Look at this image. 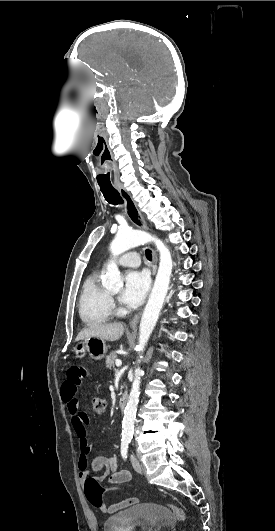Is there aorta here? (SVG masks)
Wrapping results in <instances>:
<instances>
[{
    "label": "aorta",
    "instance_id": "aorta-1",
    "mask_svg": "<svg viewBox=\"0 0 275 531\" xmlns=\"http://www.w3.org/2000/svg\"><path fill=\"white\" fill-rule=\"evenodd\" d=\"M146 241H153V243H155L156 249L159 251L160 263L153 289L142 313L139 325V343L137 345V351H139V353H144L145 347L150 339V335H152V331L164 305L173 269L171 253L160 239H153V237H149V235L142 233V231H131V229H120L109 247L112 253V259H116L118 255H122V253L129 251V249H133V247H139V245L146 243ZM102 285L105 289H108V291H120V289H122L123 281L115 261H109L106 275H104V279H102ZM140 359H142V357H139L138 363H140ZM141 377L142 371L140 367H136L132 389L130 391L128 403L125 407L122 421L123 437H132L134 433V421L136 419V411L140 395Z\"/></svg>",
    "mask_w": 275,
    "mask_h": 531
}]
</instances>
